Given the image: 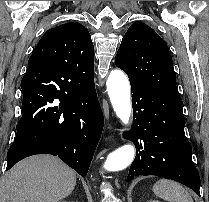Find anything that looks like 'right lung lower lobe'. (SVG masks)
<instances>
[{
	"label": "right lung lower lobe",
	"mask_w": 209,
	"mask_h": 202,
	"mask_svg": "<svg viewBox=\"0 0 209 202\" xmlns=\"http://www.w3.org/2000/svg\"><path fill=\"white\" fill-rule=\"evenodd\" d=\"M21 88L23 112L7 169L28 156L52 154L86 176L104 124L94 83L66 87L47 70L28 68Z\"/></svg>",
	"instance_id": "98d812e1"
}]
</instances>
